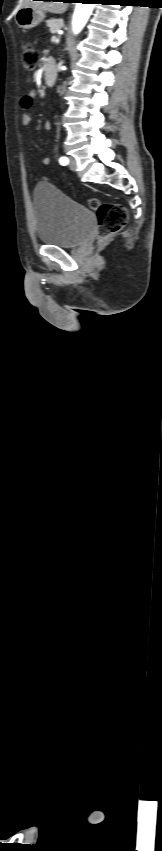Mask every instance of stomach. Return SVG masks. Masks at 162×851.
I'll use <instances>...</instances> for the list:
<instances>
[{"label": "stomach", "mask_w": 162, "mask_h": 851, "mask_svg": "<svg viewBox=\"0 0 162 851\" xmlns=\"http://www.w3.org/2000/svg\"><path fill=\"white\" fill-rule=\"evenodd\" d=\"M44 18L45 12L43 10L30 6L19 8L15 16L17 25L25 30L36 27Z\"/></svg>", "instance_id": "obj_1"}]
</instances>
